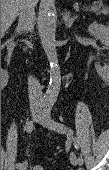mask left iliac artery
<instances>
[{
	"instance_id": "44dca946",
	"label": "left iliac artery",
	"mask_w": 109,
	"mask_h": 170,
	"mask_svg": "<svg viewBox=\"0 0 109 170\" xmlns=\"http://www.w3.org/2000/svg\"><path fill=\"white\" fill-rule=\"evenodd\" d=\"M51 109H52L51 104L46 105V107L44 108L45 115L48 116L54 124H57V125L64 127L68 130L69 136H71L73 138L75 148L78 149L79 148V142H78V139L74 136L73 130L70 127L65 126L64 124L56 123L54 120H52L51 117H50ZM78 161L81 165L83 164V158L81 156L78 157Z\"/></svg>"
}]
</instances>
